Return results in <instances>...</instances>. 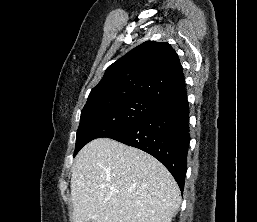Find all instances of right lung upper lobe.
<instances>
[{
  "mask_svg": "<svg viewBox=\"0 0 257 222\" xmlns=\"http://www.w3.org/2000/svg\"><path fill=\"white\" fill-rule=\"evenodd\" d=\"M184 94L185 79L175 50L165 42L147 41L106 69L88 101L143 97L161 104Z\"/></svg>",
  "mask_w": 257,
  "mask_h": 222,
  "instance_id": "cb5924a9",
  "label": "right lung upper lobe"
}]
</instances>
